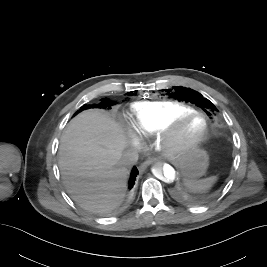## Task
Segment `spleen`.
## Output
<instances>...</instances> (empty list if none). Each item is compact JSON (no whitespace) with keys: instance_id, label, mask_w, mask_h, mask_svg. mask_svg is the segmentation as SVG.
Wrapping results in <instances>:
<instances>
[{"instance_id":"1","label":"spleen","mask_w":267,"mask_h":267,"mask_svg":"<svg viewBox=\"0 0 267 267\" xmlns=\"http://www.w3.org/2000/svg\"><path fill=\"white\" fill-rule=\"evenodd\" d=\"M217 176H211L200 180H185L186 187L193 192H204L212 187Z\"/></svg>"}]
</instances>
